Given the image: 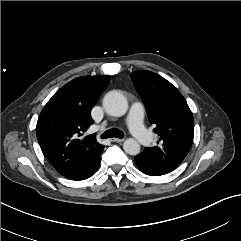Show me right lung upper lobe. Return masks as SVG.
<instances>
[{"label":"right lung upper lobe","instance_id":"1","mask_svg":"<svg viewBox=\"0 0 241 241\" xmlns=\"http://www.w3.org/2000/svg\"><path fill=\"white\" fill-rule=\"evenodd\" d=\"M110 77L84 76L60 88L48 101L37 122L40 147L62 176L93 160L103 149L94 136L81 139L93 124L90 112Z\"/></svg>","mask_w":241,"mask_h":241}]
</instances>
